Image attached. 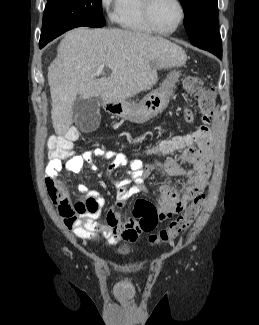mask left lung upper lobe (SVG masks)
Masks as SVG:
<instances>
[{
    "mask_svg": "<svg viewBox=\"0 0 259 325\" xmlns=\"http://www.w3.org/2000/svg\"><path fill=\"white\" fill-rule=\"evenodd\" d=\"M184 12V27L190 42L217 55L222 51L218 32L217 0H179Z\"/></svg>",
    "mask_w": 259,
    "mask_h": 325,
    "instance_id": "obj_1",
    "label": "left lung upper lobe"
}]
</instances>
